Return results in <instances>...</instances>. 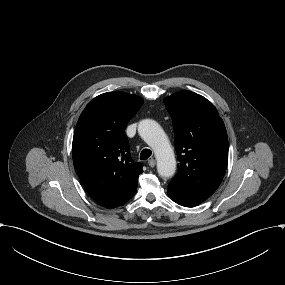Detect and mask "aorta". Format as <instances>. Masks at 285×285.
<instances>
[{
  "mask_svg": "<svg viewBox=\"0 0 285 285\" xmlns=\"http://www.w3.org/2000/svg\"><path fill=\"white\" fill-rule=\"evenodd\" d=\"M138 133L153 149L159 175L164 178L173 176L176 170L175 155L161 126L154 120L145 119L139 123Z\"/></svg>",
  "mask_w": 285,
  "mask_h": 285,
  "instance_id": "aorta-1",
  "label": "aorta"
}]
</instances>
